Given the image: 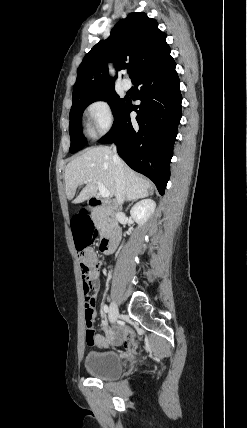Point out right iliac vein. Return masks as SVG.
I'll return each instance as SVG.
<instances>
[{
	"instance_id": "right-iliac-vein-1",
	"label": "right iliac vein",
	"mask_w": 247,
	"mask_h": 428,
	"mask_svg": "<svg viewBox=\"0 0 247 428\" xmlns=\"http://www.w3.org/2000/svg\"><path fill=\"white\" fill-rule=\"evenodd\" d=\"M119 314L118 306L115 302H112L109 310V320L111 323H115Z\"/></svg>"
}]
</instances>
